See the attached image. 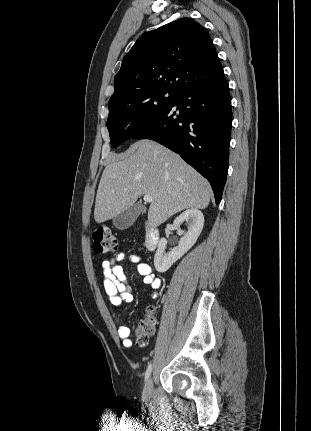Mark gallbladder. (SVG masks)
Returning a JSON list of instances; mask_svg holds the SVG:
<instances>
[{
  "instance_id": "gallbladder-1",
  "label": "gallbladder",
  "mask_w": 311,
  "mask_h": 431,
  "mask_svg": "<svg viewBox=\"0 0 311 431\" xmlns=\"http://www.w3.org/2000/svg\"><path fill=\"white\" fill-rule=\"evenodd\" d=\"M146 208L142 206V204H134L125 212H121L118 216L113 217L112 225H115L117 229H128L130 225H133L135 219L141 214V212H145Z\"/></svg>"
}]
</instances>
